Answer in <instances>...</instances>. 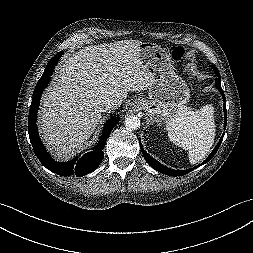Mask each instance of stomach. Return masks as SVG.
Masks as SVG:
<instances>
[{
  "mask_svg": "<svg viewBox=\"0 0 253 253\" xmlns=\"http://www.w3.org/2000/svg\"><path fill=\"white\" fill-rule=\"evenodd\" d=\"M138 56L148 72L153 75V83L148 88L149 97L138 99L134 104L155 122L169 123L188 103L190 89L174 72L169 54L160 46L142 42L138 46Z\"/></svg>",
  "mask_w": 253,
  "mask_h": 253,
  "instance_id": "stomach-1",
  "label": "stomach"
}]
</instances>
